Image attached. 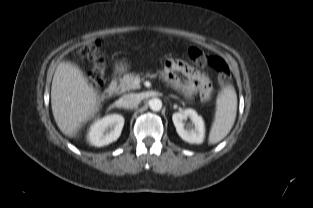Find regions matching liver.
<instances>
[{"label": "liver", "instance_id": "6515ba94", "mask_svg": "<svg viewBox=\"0 0 313 208\" xmlns=\"http://www.w3.org/2000/svg\"><path fill=\"white\" fill-rule=\"evenodd\" d=\"M51 105L59 129L72 137L97 112V95L76 66L63 62L53 77Z\"/></svg>", "mask_w": 313, "mask_h": 208}]
</instances>
